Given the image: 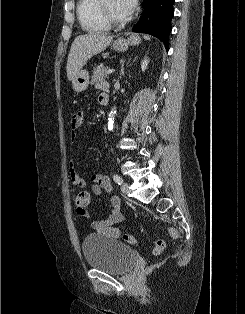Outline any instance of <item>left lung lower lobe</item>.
<instances>
[{
  "label": "left lung lower lobe",
  "instance_id": "obj_1",
  "mask_svg": "<svg viewBox=\"0 0 245 314\" xmlns=\"http://www.w3.org/2000/svg\"><path fill=\"white\" fill-rule=\"evenodd\" d=\"M175 0H145L143 15L132 31L147 33L159 38L168 49V36L171 32V19L174 15Z\"/></svg>",
  "mask_w": 245,
  "mask_h": 314
}]
</instances>
